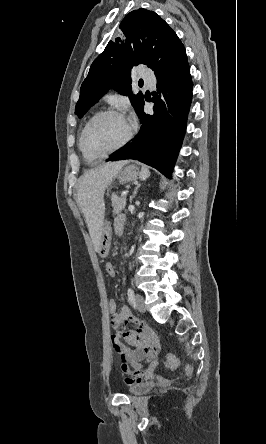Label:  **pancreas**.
Instances as JSON below:
<instances>
[{"label": "pancreas", "mask_w": 266, "mask_h": 444, "mask_svg": "<svg viewBox=\"0 0 266 444\" xmlns=\"http://www.w3.org/2000/svg\"><path fill=\"white\" fill-rule=\"evenodd\" d=\"M111 201H112V207H113V213L114 214H118L122 210L125 209L126 197H124V196H117V195L114 194L111 197Z\"/></svg>", "instance_id": "obj_1"}]
</instances>
